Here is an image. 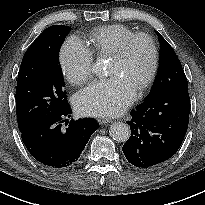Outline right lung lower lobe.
<instances>
[{
  "mask_svg": "<svg viewBox=\"0 0 205 205\" xmlns=\"http://www.w3.org/2000/svg\"><path fill=\"white\" fill-rule=\"evenodd\" d=\"M71 110L52 111L21 131L22 140L30 154L50 169H64L76 163L93 132L98 129L92 118L65 122ZM68 127L64 129L62 123Z\"/></svg>",
  "mask_w": 205,
  "mask_h": 205,
  "instance_id": "1",
  "label": "right lung lower lobe"
}]
</instances>
